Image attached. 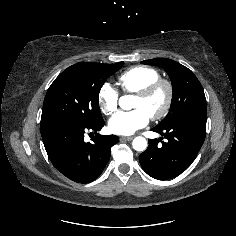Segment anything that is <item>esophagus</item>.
Segmentation results:
<instances>
[{
    "label": "esophagus",
    "instance_id": "1",
    "mask_svg": "<svg viewBox=\"0 0 236 236\" xmlns=\"http://www.w3.org/2000/svg\"><path fill=\"white\" fill-rule=\"evenodd\" d=\"M133 138H134L133 136H122V137H120V140H128V141H130Z\"/></svg>",
    "mask_w": 236,
    "mask_h": 236
}]
</instances>
